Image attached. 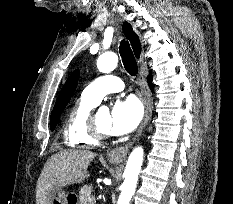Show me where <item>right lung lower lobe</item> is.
<instances>
[{
    "instance_id": "obj_1",
    "label": "right lung lower lobe",
    "mask_w": 233,
    "mask_h": 204,
    "mask_svg": "<svg viewBox=\"0 0 233 204\" xmlns=\"http://www.w3.org/2000/svg\"><path fill=\"white\" fill-rule=\"evenodd\" d=\"M149 80H150V81H149V85H150V87H151V90H153V89H152V83H151L152 78H151V77H149Z\"/></svg>"
}]
</instances>
